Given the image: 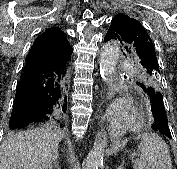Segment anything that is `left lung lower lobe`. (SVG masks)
Instances as JSON below:
<instances>
[{"label":"left lung lower lobe","instance_id":"left-lung-lower-lobe-1","mask_svg":"<svg viewBox=\"0 0 177 169\" xmlns=\"http://www.w3.org/2000/svg\"><path fill=\"white\" fill-rule=\"evenodd\" d=\"M141 88L147 92L150 97L151 109L154 116L152 129L172 139L160 91L149 85H145Z\"/></svg>","mask_w":177,"mask_h":169}]
</instances>
